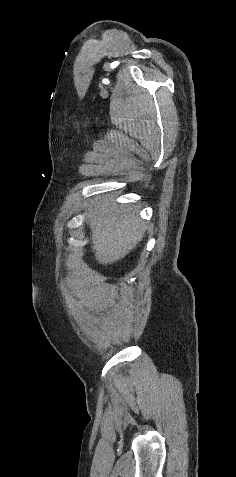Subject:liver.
I'll return each mask as SVG.
<instances>
[{"instance_id":"1","label":"liver","mask_w":236,"mask_h":477,"mask_svg":"<svg viewBox=\"0 0 236 477\" xmlns=\"http://www.w3.org/2000/svg\"><path fill=\"white\" fill-rule=\"evenodd\" d=\"M138 210V206L96 200L87 223L92 231V249L100 264L124 258L143 239L144 225L137 217Z\"/></svg>"}]
</instances>
